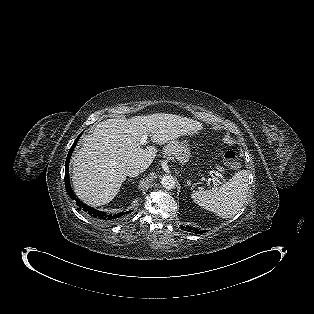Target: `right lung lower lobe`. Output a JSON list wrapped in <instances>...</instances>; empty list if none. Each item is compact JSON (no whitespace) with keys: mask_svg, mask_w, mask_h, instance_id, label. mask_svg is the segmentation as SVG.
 <instances>
[{"mask_svg":"<svg viewBox=\"0 0 314 314\" xmlns=\"http://www.w3.org/2000/svg\"><path fill=\"white\" fill-rule=\"evenodd\" d=\"M81 136V134L77 137V139L74 141L72 147L70 148L68 155H67V159H66V163H65V187L66 190L68 192V194L71 196L72 199H74L76 201L77 206L79 207L78 209H82L85 212H88V214H90L91 216H93L94 218H99L102 221L105 222H113L116 221L117 219H119L121 216H123L124 214L128 213V212H120L114 215L111 214H105L101 211H98L96 209H93L89 206H86L84 203H82L78 198H76V196L74 195V193L71 190L70 187V181H69V161H70V157L72 155V152L74 150V147L77 143V141L79 140V137Z\"/></svg>","mask_w":314,"mask_h":314,"instance_id":"98d812e1","label":"right lung lower lobe"}]
</instances>
